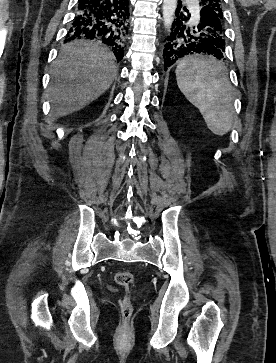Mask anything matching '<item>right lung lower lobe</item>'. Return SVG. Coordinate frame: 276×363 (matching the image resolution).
I'll return each instance as SVG.
<instances>
[{"label": "right lung lower lobe", "instance_id": "right-lung-lower-lobe-1", "mask_svg": "<svg viewBox=\"0 0 276 363\" xmlns=\"http://www.w3.org/2000/svg\"><path fill=\"white\" fill-rule=\"evenodd\" d=\"M129 17L128 0H79L66 41H101L121 60L129 34Z\"/></svg>", "mask_w": 276, "mask_h": 363}]
</instances>
